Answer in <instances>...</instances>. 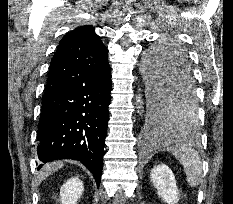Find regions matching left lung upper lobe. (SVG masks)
Instances as JSON below:
<instances>
[{
    "instance_id": "5c2ea615",
    "label": "left lung upper lobe",
    "mask_w": 233,
    "mask_h": 204,
    "mask_svg": "<svg viewBox=\"0 0 233 204\" xmlns=\"http://www.w3.org/2000/svg\"><path fill=\"white\" fill-rule=\"evenodd\" d=\"M176 53L189 63L185 50L173 39L163 40L146 52L143 67L148 87L149 118H153L155 114L160 112L158 111L160 109L159 95L163 91V82L174 70L173 65L176 60L174 54ZM164 113L166 117L162 126L164 131L195 132L199 123L196 94L184 93L175 100L168 101L165 103Z\"/></svg>"
}]
</instances>
